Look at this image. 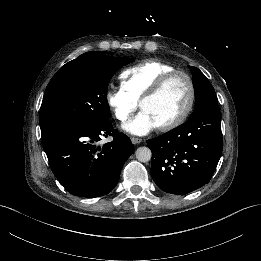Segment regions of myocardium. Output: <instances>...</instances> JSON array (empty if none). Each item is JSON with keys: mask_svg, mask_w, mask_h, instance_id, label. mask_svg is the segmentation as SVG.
Masks as SVG:
<instances>
[{"mask_svg": "<svg viewBox=\"0 0 261 261\" xmlns=\"http://www.w3.org/2000/svg\"><path fill=\"white\" fill-rule=\"evenodd\" d=\"M176 76L184 77L188 84V88H189L188 101H187L183 111L176 118H174L173 120H171L163 125L157 126V128L161 131H169V130H172V129L178 127L186 120V118L192 111V108H193L194 102H195V97H196V90H195V85H194V82H193L191 76L187 72L181 71V70H173V71L167 72L160 77V79L152 86L150 91L146 95H144L142 97V99L140 100L139 106H140V108H142L144 103L157 97L164 90V88L169 84V82L172 79H174Z\"/></svg>", "mask_w": 261, "mask_h": 261, "instance_id": "1", "label": "myocardium"}]
</instances>
